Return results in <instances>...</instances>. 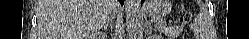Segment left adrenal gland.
<instances>
[{
  "instance_id": "left-adrenal-gland-1",
  "label": "left adrenal gland",
  "mask_w": 249,
  "mask_h": 39,
  "mask_svg": "<svg viewBox=\"0 0 249 39\" xmlns=\"http://www.w3.org/2000/svg\"><path fill=\"white\" fill-rule=\"evenodd\" d=\"M148 26H149V28H151V26H150V23L148 22Z\"/></svg>"
}]
</instances>
